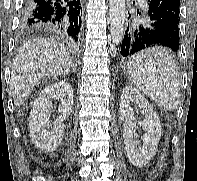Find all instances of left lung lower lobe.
Masks as SVG:
<instances>
[{"label":"left lung lower lobe","instance_id":"obj_1","mask_svg":"<svg viewBox=\"0 0 197 181\" xmlns=\"http://www.w3.org/2000/svg\"><path fill=\"white\" fill-rule=\"evenodd\" d=\"M148 12L140 24L130 25L121 41L120 56L128 58L152 46L179 50V0H148ZM131 17V15H129Z\"/></svg>","mask_w":197,"mask_h":181}]
</instances>
